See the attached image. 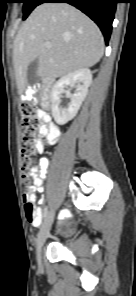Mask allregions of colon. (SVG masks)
Listing matches in <instances>:
<instances>
[{
  "label": "colon",
  "instance_id": "obj_1",
  "mask_svg": "<svg viewBox=\"0 0 136 296\" xmlns=\"http://www.w3.org/2000/svg\"><path fill=\"white\" fill-rule=\"evenodd\" d=\"M33 91L28 89L20 104L21 121H20V137L22 143V173L24 179V206L26 217L30 222L40 219L39 212L35 206V194L32 182L35 180V154L39 149V144L35 137V133L41 126L39 118V109L30 101Z\"/></svg>",
  "mask_w": 136,
  "mask_h": 296
}]
</instances>
